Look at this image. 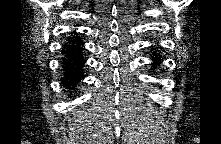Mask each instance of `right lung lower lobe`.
I'll return each instance as SVG.
<instances>
[{"instance_id": "right-lung-lower-lobe-1", "label": "right lung lower lobe", "mask_w": 221, "mask_h": 144, "mask_svg": "<svg viewBox=\"0 0 221 144\" xmlns=\"http://www.w3.org/2000/svg\"><path fill=\"white\" fill-rule=\"evenodd\" d=\"M83 41L78 37L66 43V49L62 50V54L65 55L64 59V78L62 84L66 89L74 90L76 88L79 79L84 77L82 68L85 64L83 58Z\"/></svg>"}]
</instances>
